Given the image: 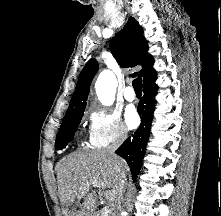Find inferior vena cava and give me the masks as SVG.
Returning a JSON list of instances; mask_svg holds the SVG:
<instances>
[{
  "instance_id": "1",
  "label": "inferior vena cava",
  "mask_w": 221,
  "mask_h": 216,
  "mask_svg": "<svg viewBox=\"0 0 221 216\" xmlns=\"http://www.w3.org/2000/svg\"><path fill=\"white\" fill-rule=\"evenodd\" d=\"M127 133L126 131H121L118 135L116 141L106 148V153L114 158V165L117 172V187H116V202L114 206L113 216H120L122 212V200H123V192L126 185V174L122 168L121 161L115 154V150L123 143L126 139Z\"/></svg>"
}]
</instances>
